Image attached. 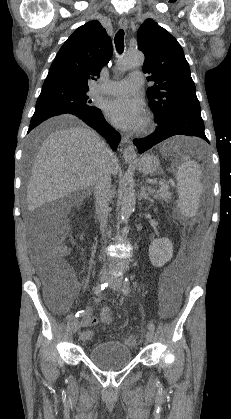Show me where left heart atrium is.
I'll return each instance as SVG.
<instances>
[{"label": "left heart atrium", "mask_w": 231, "mask_h": 419, "mask_svg": "<svg viewBox=\"0 0 231 419\" xmlns=\"http://www.w3.org/2000/svg\"><path fill=\"white\" fill-rule=\"evenodd\" d=\"M105 111L110 122L124 130H137L145 120L142 103L135 97L113 99L107 103Z\"/></svg>", "instance_id": "left-heart-atrium-1"}]
</instances>
